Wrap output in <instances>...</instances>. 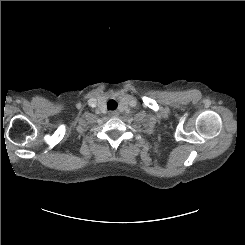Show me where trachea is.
<instances>
[{"label": "trachea", "instance_id": "3493384b", "mask_svg": "<svg viewBox=\"0 0 245 245\" xmlns=\"http://www.w3.org/2000/svg\"><path fill=\"white\" fill-rule=\"evenodd\" d=\"M107 107L108 109L110 110H114L117 108V102L115 100H109L108 103H107Z\"/></svg>", "mask_w": 245, "mask_h": 245}]
</instances>
